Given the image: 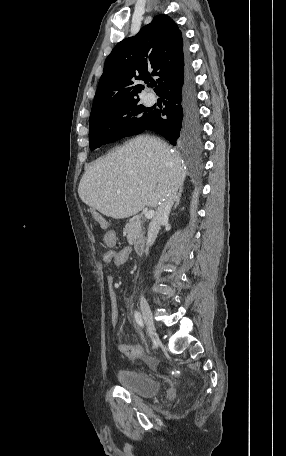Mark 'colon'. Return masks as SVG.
<instances>
[{
	"label": "colon",
	"mask_w": 286,
	"mask_h": 456,
	"mask_svg": "<svg viewBox=\"0 0 286 456\" xmlns=\"http://www.w3.org/2000/svg\"><path fill=\"white\" fill-rule=\"evenodd\" d=\"M140 355H141V354H140ZM145 360H146V362H147L150 366H152V367L155 366V362H154L153 359H151V358H145ZM170 371H171L173 374H176V371H175V370H170Z\"/></svg>",
	"instance_id": "1"
}]
</instances>
